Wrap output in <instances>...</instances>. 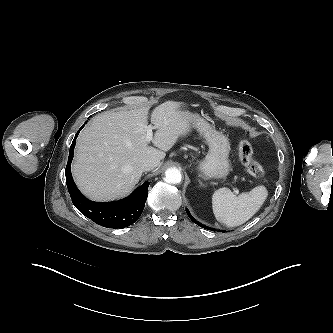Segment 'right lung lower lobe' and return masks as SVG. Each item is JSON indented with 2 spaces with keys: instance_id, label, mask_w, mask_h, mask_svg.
<instances>
[{
  "instance_id": "right-lung-lower-lobe-1",
  "label": "right lung lower lobe",
  "mask_w": 333,
  "mask_h": 333,
  "mask_svg": "<svg viewBox=\"0 0 333 333\" xmlns=\"http://www.w3.org/2000/svg\"><path fill=\"white\" fill-rule=\"evenodd\" d=\"M80 130L76 133L71 144L65 169L66 184L74 206L86 217L103 227L123 228L133 224L141 216L144 209L148 196L149 182L143 183L130 196L119 201L102 203L93 202L85 198L76 187L71 176V162L75 140Z\"/></svg>"
}]
</instances>
